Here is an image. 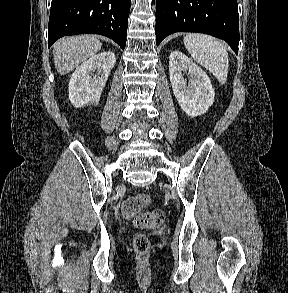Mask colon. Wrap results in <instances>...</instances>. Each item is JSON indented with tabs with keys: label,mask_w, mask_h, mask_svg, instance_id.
I'll use <instances>...</instances> for the list:
<instances>
[{
	"label": "colon",
	"mask_w": 288,
	"mask_h": 293,
	"mask_svg": "<svg viewBox=\"0 0 288 293\" xmlns=\"http://www.w3.org/2000/svg\"><path fill=\"white\" fill-rule=\"evenodd\" d=\"M151 198L147 194H139L125 200L121 207L122 215L127 220H132L138 228H153L160 225L164 220L162 210L142 212L149 206ZM150 242L146 235L138 234L133 238V248L138 253H145L149 249Z\"/></svg>",
	"instance_id": "obj_1"
}]
</instances>
